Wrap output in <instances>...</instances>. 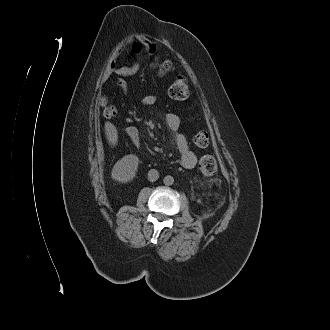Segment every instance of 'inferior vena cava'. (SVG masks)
<instances>
[{"label":"inferior vena cava","instance_id":"602c4592","mask_svg":"<svg viewBox=\"0 0 330 330\" xmlns=\"http://www.w3.org/2000/svg\"><path fill=\"white\" fill-rule=\"evenodd\" d=\"M159 178V172L156 169H151L148 172V180L150 182H155Z\"/></svg>","mask_w":330,"mask_h":330}]
</instances>
